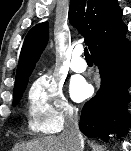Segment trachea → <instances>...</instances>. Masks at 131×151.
Wrapping results in <instances>:
<instances>
[{"label": "trachea", "mask_w": 131, "mask_h": 151, "mask_svg": "<svg viewBox=\"0 0 131 151\" xmlns=\"http://www.w3.org/2000/svg\"><path fill=\"white\" fill-rule=\"evenodd\" d=\"M84 55H85L86 60H91V56L88 52L87 47L84 48Z\"/></svg>", "instance_id": "1"}]
</instances>
